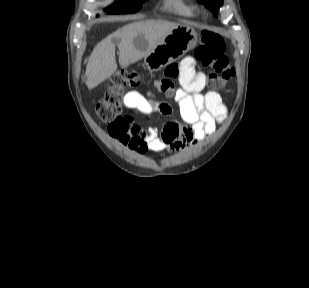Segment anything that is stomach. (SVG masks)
Masks as SVG:
<instances>
[{
  "label": "stomach",
  "mask_w": 309,
  "mask_h": 288,
  "mask_svg": "<svg viewBox=\"0 0 309 288\" xmlns=\"http://www.w3.org/2000/svg\"><path fill=\"white\" fill-rule=\"evenodd\" d=\"M197 32L187 24H179L160 39L155 49L144 57L150 71H158L175 62L197 43Z\"/></svg>",
  "instance_id": "obj_1"
}]
</instances>
